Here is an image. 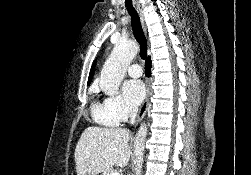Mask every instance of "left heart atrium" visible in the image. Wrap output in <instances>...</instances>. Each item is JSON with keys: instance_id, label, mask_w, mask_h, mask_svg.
I'll return each mask as SVG.
<instances>
[{"instance_id": "left-heart-atrium-1", "label": "left heart atrium", "mask_w": 251, "mask_h": 175, "mask_svg": "<svg viewBox=\"0 0 251 175\" xmlns=\"http://www.w3.org/2000/svg\"><path fill=\"white\" fill-rule=\"evenodd\" d=\"M145 85L140 79H130L123 85L125 100L132 106L138 105L145 96Z\"/></svg>"}]
</instances>
